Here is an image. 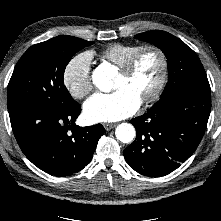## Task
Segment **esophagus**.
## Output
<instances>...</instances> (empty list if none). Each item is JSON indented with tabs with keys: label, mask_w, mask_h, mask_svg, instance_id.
I'll return each instance as SVG.
<instances>
[{
	"label": "esophagus",
	"mask_w": 221,
	"mask_h": 221,
	"mask_svg": "<svg viewBox=\"0 0 221 221\" xmlns=\"http://www.w3.org/2000/svg\"><path fill=\"white\" fill-rule=\"evenodd\" d=\"M104 128L109 131L111 129H113L115 127V124H112V123H104L103 124Z\"/></svg>",
	"instance_id": "1"
}]
</instances>
